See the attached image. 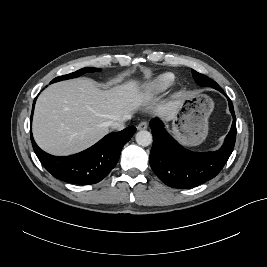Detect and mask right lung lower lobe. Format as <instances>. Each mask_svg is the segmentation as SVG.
I'll list each match as a JSON object with an SVG mask.
<instances>
[{
	"instance_id": "obj_1",
	"label": "right lung lower lobe",
	"mask_w": 267,
	"mask_h": 267,
	"mask_svg": "<svg viewBox=\"0 0 267 267\" xmlns=\"http://www.w3.org/2000/svg\"><path fill=\"white\" fill-rule=\"evenodd\" d=\"M36 98L33 103L31 121ZM136 131L134 126L110 133L87 150L71 156H53L41 150L35 143L33 149L46 170L67 183L87 185L104 179L117 164L123 146Z\"/></svg>"
}]
</instances>
